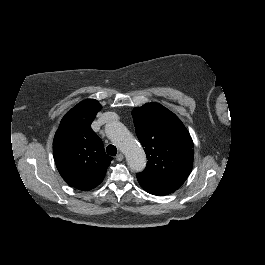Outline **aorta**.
<instances>
[{
  "instance_id": "1",
  "label": "aorta",
  "mask_w": 265,
  "mask_h": 265,
  "mask_svg": "<svg viewBox=\"0 0 265 265\" xmlns=\"http://www.w3.org/2000/svg\"><path fill=\"white\" fill-rule=\"evenodd\" d=\"M105 133L107 138L112 142H119V137H123L120 147L126 157L128 166L133 172L144 170L146 166V154L138 141L121 122L106 124Z\"/></svg>"
}]
</instances>
